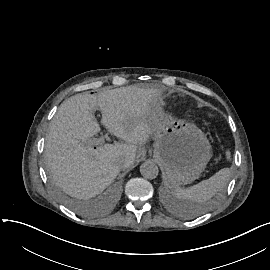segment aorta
<instances>
[{
  "label": "aorta",
  "mask_w": 270,
  "mask_h": 270,
  "mask_svg": "<svg viewBox=\"0 0 270 270\" xmlns=\"http://www.w3.org/2000/svg\"><path fill=\"white\" fill-rule=\"evenodd\" d=\"M158 172H159V170H158L157 165L150 160L145 161L140 166V173L146 179L156 178L158 175Z\"/></svg>",
  "instance_id": "aorta-1"
}]
</instances>
